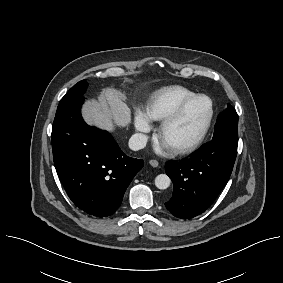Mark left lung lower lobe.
<instances>
[{
    "label": "left lung lower lobe",
    "instance_id": "left-lung-lower-lobe-1",
    "mask_svg": "<svg viewBox=\"0 0 283 283\" xmlns=\"http://www.w3.org/2000/svg\"><path fill=\"white\" fill-rule=\"evenodd\" d=\"M236 155L237 148L211 140L189 159L167 163L165 171L173 182V195L166 208L182 219L203 213L227 184Z\"/></svg>",
    "mask_w": 283,
    "mask_h": 283
}]
</instances>
